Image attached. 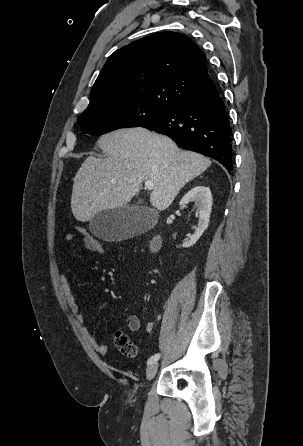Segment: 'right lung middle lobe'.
Returning <instances> with one entry per match:
<instances>
[{
	"label": "right lung middle lobe",
	"instance_id": "right-lung-middle-lobe-1",
	"mask_svg": "<svg viewBox=\"0 0 303 446\" xmlns=\"http://www.w3.org/2000/svg\"><path fill=\"white\" fill-rule=\"evenodd\" d=\"M170 108L144 102L115 103L85 110L78 123L83 133L102 135L120 128L142 126Z\"/></svg>",
	"mask_w": 303,
	"mask_h": 446
}]
</instances>
